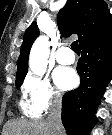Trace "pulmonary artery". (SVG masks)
<instances>
[{
  "instance_id": "e3ab8cb5",
  "label": "pulmonary artery",
  "mask_w": 112,
  "mask_h": 135,
  "mask_svg": "<svg viewBox=\"0 0 112 135\" xmlns=\"http://www.w3.org/2000/svg\"><path fill=\"white\" fill-rule=\"evenodd\" d=\"M55 57L57 62L62 65L73 64L75 61V56L71 49L64 46L57 50Z\"/></svg>"
}]
</instances>
